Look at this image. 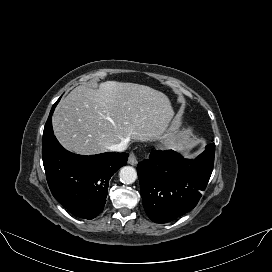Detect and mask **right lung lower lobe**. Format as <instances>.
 I'll return each instance as SVG.
<instances>
[{"mask_svg":"<svg viewBox=\"0 0 272 272\" xmlns=\"http://www.w3.org/2000/svg\"><path fill=\"white\" fill-rule=\"evenodd\" d=\"M53 105L44 127L42 159L55 199L73 215L93 219L106 203L109 180L128 160V153L107 152L82 156L64 149L54 136Z\"/></svg>","mask_w":272,"mask_h":272,"instance_id":"right-lung-lower-lobe-1","label":"right lung lower lobe"}]
</instances>
